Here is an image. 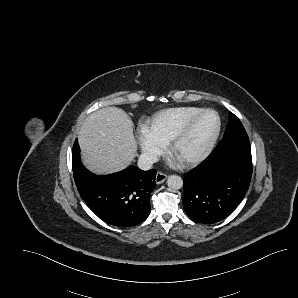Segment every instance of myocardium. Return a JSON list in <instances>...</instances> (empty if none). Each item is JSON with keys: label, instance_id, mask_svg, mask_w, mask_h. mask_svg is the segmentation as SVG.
<instances>
[{"label": "myocardium", "instance_id": "obj_1", "mask_svg": "<svg viewBox=\"0 0 298 298\" xmlns=\"http://www.w3.org/2000/svg\"><path fill=\"white\" fill-rule=\"evenodd\" d=\"M206 114H212L215 117V130L202 148L194 155L186 158L182 162L183 165H193L202 161L210 152L220 134L221 122L217 112L210 109H203L190 118L186 119L183 123L177 126L174 131L166 137L168 156L172 158L175 148L177 147L180 139L191 129L195 122ZM173 159V158H172Z\"/></svg>", "mask_w": 298, "mask_h": 298}]
</instances>
